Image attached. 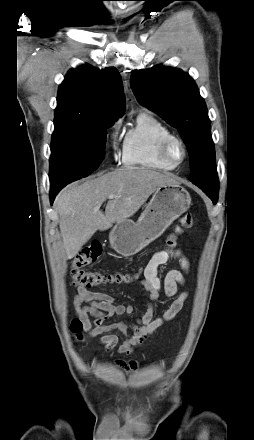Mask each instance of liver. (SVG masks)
I'll return each mask as SVG.
<instances>
[{
    "label": "liver",
    "instance_id": "obj_1",
    "mask_svg": "<svg viewBox=\"0 0 254 440\" xmlns=\"http://www.w3.org/2000/svg\"><path fill=\"white\" fill-rule=\"evenodd\" d=\"M177 184L170 176L145 168H122L81 185L70 184L56 197L62 244L67 259H72L97 230L133 216L155 190ZM110 195L105 213L102 203Z\"/></svg>",
    "mask_w": 254,
    "mask_h": 440
}]
</instances>
